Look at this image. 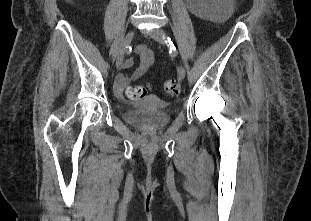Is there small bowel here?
Instances as JSON below:
<instances>
[{"instance_id":"1","label":"small bowel","mask_w":311,"mask_h":221,"mask_svg":"<svg viewBox=\"0 0 311 221\" xmlns=\"http://www.w3.org/2000/svg\"><path fill=\"white\" fill-rule=\"evenodd\" d=\"M136 52L139 56V66L136 68L132 75L133 80L141 78L153 65L154 55L152 51L146 46H140L136 49ZM126 82H122L121 86H125Z\"/></svg>"}]
</instances>
